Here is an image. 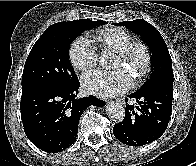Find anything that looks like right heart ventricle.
<instances>
[{"instance_id": "obj_1", "label": "right heart ventricle", "mask_w": 196, "mask_h": 166, "mask_svg": "<svg viewBox=\"0 0 196 166\" xmlns=\"http://www.w3.org/2000/svg\"><path fill=\"white\" fill-rule=\"evenodd\" d=\"M96 39L105 49H112L116 52L127 47L131 42L135 41L133 36L126 30L121 28H110L99 32Z\"/></svg>"}]
</instances>
